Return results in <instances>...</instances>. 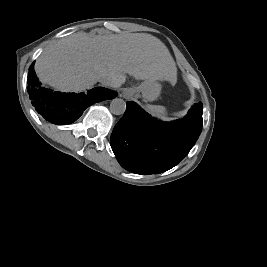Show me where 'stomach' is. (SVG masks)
Returning a JSON list of instances; mask_svg holds the SVG:
<instances>
[{
  "label": "stomach",
  "instance_id": "1",
  "mask_svg": "<svg viewBox=\"0 0 267 267\" xmlns=\"http://www.w3.org/2000/svg\"><path fill=\"white\" fill-rule=\"evenodd\" d=\"M132 90L136 96L141 93L144 101H154L160 96L162 85L158 81L145 80Z\"/></svg>",
  "mask_w": 267,
  "mask_h": 267
}]
</instances>
